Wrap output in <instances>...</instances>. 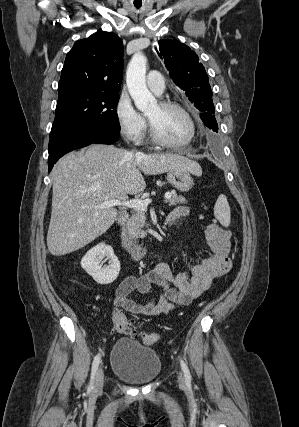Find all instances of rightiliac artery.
<instances>
[{"mask_svg": "<svg viewBox=\"0 0 299 427\" xmlns=\"http://www.w3.org/2000/svg\"><path fill=\"white\" fill-rule=\"evenodd\" d=\"M100 359H101V356H100V354H98L95 356L93 363H92L91 379H90V384H89L90 390L93 389L94 379H95L97 369L99 367Z\"/></svg>", "mask_w": 299, "mask_h": 427, "instance_id": "obj_1", "label": "right iliac artery"}]
</instances>
